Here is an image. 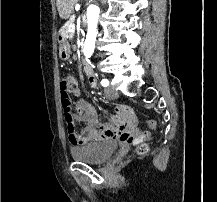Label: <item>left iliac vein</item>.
Listing matches in <instances>:
<instances>
[{"instance_id": "left-iliac-vein-1", "label": "left iliac vein", "mask_w": 217, "mask_h": 202, "mask_svg": "<svg viewBox=\"0 0 217 202\" xmlns=\"http://www.w3.org/2000/svg\"><path fill=\"white\" fill-rule=\"evenodd\" d=\"M105 93L109 98H117L118 97V93L116 92V90L109 86L107 88H105Z\"/></svg>"}]
</instances>
